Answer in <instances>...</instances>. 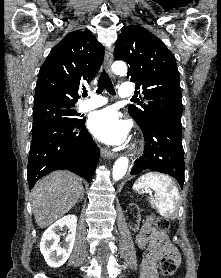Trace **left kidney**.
Masks as SVG:
<instances>
[{
	"mask_svg": "<svg viewBox=\"0 0 221 278\" xmlns=\"http://www.w3.org/2000/svg\"><path fill=\"white\" fill-rule=\"evenodd\" d=\"M132 205H134V204L132 203ZM138 219L140 220V214H139V209H138Z\"/></svg>",
	"mask_w": 221,
	"mask_h": 278,
	"instance_id": "5707ae66",
	"label": "left kidney"
}]
</instances>
